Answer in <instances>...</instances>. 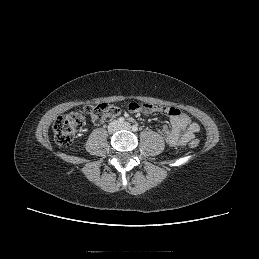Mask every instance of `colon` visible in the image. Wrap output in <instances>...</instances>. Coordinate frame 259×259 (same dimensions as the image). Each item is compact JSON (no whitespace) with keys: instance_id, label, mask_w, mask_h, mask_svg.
<instances>
[{"instance_id":"5ec220e1","label":"colon","mask_w":259,"mask_h":259,"mask_svg":"<svg viewBox=\"0 0 259 259\" xmlns=\"http://www.w3.org/2000/svg\"><path fill=\"white\" fill-rule=\"evenodd\" d=\"M121 109L118 106L101 103L97 105H87L84 111L74 110L59 116L53 125L54 139L60 146L71 144L77 132L83 127L86 114L95 124H101L109 119L118 116ZM199 145L198 139L189 142V147L195 149Z\"/></svg>"}]
</instances>
